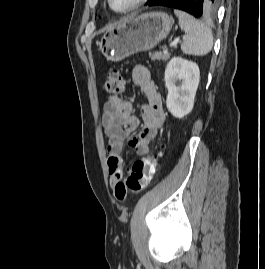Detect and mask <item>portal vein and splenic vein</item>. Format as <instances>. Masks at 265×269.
Returning <instances> with one entry per match:
<instances>
[{
    "label": "portal vein and splenic vein",
    "mask_w": 265,
    "mask_h": 269,
    "mask_svg": "<svg viewBox=\"0 0 265 269\" xmlns=\"http://www.w3.org/2000/svg\"><path fill=\"white\" fill-rule=\"evenodd\" d=\"M178 42H179V39H177V40L171 42V43H170V47H171V48H173V47H174V48L177 47ZM167 52H168V50H167V49H164V53H167Z\"/></svg>",
    "instance_id": "18ae733b"
}]
</instances>
